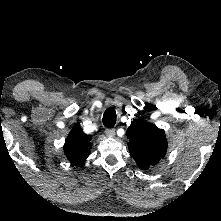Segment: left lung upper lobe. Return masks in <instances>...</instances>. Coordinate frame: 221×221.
Segmentation results:
<instances>
[{"label": "left lung upper lobe", "mask_w": 221, "mask_h": 221, "mask_svg": "<svg viewBox=\"0 0 221 221\" xmlns=\"http://www.w3.org/2000/svg\"><path fill=\"white\" fill-rule=\"evenodd\" d=\"M128 148L141 169H147L158 163L166 154L167 140L165 132L154 124L142 120L131 122L126 132Z\"/></svg>", "instance_id": "1"}]
</instances>
